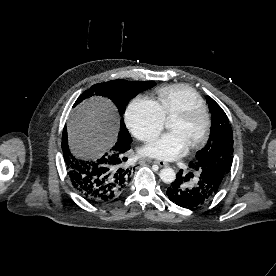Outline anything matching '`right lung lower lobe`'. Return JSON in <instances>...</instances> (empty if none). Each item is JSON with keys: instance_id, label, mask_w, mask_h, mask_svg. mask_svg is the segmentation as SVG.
Instances as JSON below:
<instances>
[{"instance_id": "98d812e1", "label": "right lung lower lobe", "mask_w": 276, "mask_h": 276, "mask_svg": "<svg viewBox=\"0 0 276 276\" xmlns=\"http://www.w3.org/2000/svg\"><path fill=\"white\" fill-rule=\"evenodd\" d=\"M131 141L117 142L108 153L93 161L78 160L69 151L64 129L62 149L74 189L91 203L109 201L120 194L129 184L133 173L123 163L125 152L131 148Z\"/></svg>"}]
</instances>
